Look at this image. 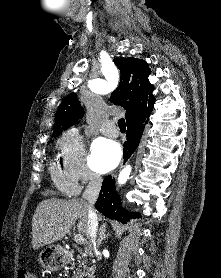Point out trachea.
<instances>
[{
    "mask_svg": "<svg viewBox=\"0 0 221 278\" xmlns=\"http://www.w3.org/2000/svg\"><path fill=\"white\" fill-rule=\"evenodd\" d=\"M118 126H119L121 131H125L126 130V124H125L124 118H120L118 120Z\"/></svg>",
    "mask_w": 221,
    "mask_h": 278,
    "instance_id": "1",
    "label": "trachea"
}]
</instances>
